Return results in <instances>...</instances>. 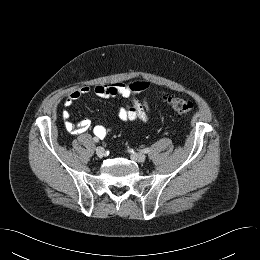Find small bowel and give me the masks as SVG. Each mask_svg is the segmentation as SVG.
I'll return each instance as SVG.
<instances>
[{
	"label": "small bowel",
	"mask_w": 260,
	"mask_h": 260,
	"mask_svg": "<svg viewBox=\"0 0 260 260\" xmlns=\"http://www.w3.org/2000/svg\"><path fill=\"white\" fill-rule=\"evenodd\" d=\"M150 83L147 81H135L132 83L112 82L108 84H98L93 89L89 86H82L76 90H73L68 94L64 100V106L69 108L75 101L84 95H88L93 92L95 95L101 98H122L130 99L131 104L122 107L117 112V117L120 121H142L147 122L150 118V97L146 95L142 102L138 101L135 97L150 89ZM62 118L65 128L72 135H80L87 132L92 128L90 120H82L77 124L70 121V112L67 109L62 111ZM94 134L96 138L103 139L106 137L110 130L101 124L93 126Z\"/></svg>",
	"instance_id": "small-bowel-1"
}]
</instances>
